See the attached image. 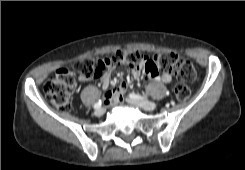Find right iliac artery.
Returning <instances> with one entry per match:
<instances>
[{
  "mask_svg": "<svg viewBox=\"0 0 245 170\" xmlns=\"http://www.w3.org/2000/svg\"><path fill=\"white\" fill-rule=\"evenodd\" d=\"M101 104H102L101 100L97 101V102L94 104V108H95V109H99V108L101 107Z\"/></svg>",
  "mask_w": 245,
  "mask_h": 170,
  "instance_id": "right-iliac-artery-1",
  "label": "right iliac artery"
}]
</instances>
